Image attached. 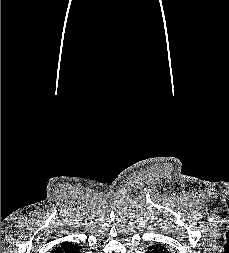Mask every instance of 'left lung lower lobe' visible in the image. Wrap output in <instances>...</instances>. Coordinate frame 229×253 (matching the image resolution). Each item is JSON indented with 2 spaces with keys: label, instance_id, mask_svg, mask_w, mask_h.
Returning a JSON list of instances; mask_svg holds the SVG:
<instances>
[{
  "label": "left lung lower lobe",
  "instance_id": "left-lung-lower-lobe-1",
  "mask_svg": "<svg viewBox=\"0 0 229 253\" xmlns=\"http://www.w3.org/2000/svg\"><path fill=\"white\" fill-rule=\"evenodd\" d=\"M147 253H169V251L161 245H152L148 247Z\"/></svg>",
  "mask_w": 229,
  "mask_h": 253
}]
</instances>
